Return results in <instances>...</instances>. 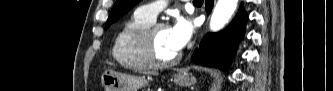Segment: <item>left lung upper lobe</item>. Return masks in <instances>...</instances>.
Instances as JSON below:
<instances>
[{
    "label": "left lung upper lobe",
    "mask_w": 333,
    "mask_h": 91,
    "mask_svg": "<svg viewBox=\"0 0 333 91\" xmlns=\"http://www.w3.org/2000/svg\"><path fill=\"white\" fill-rule=\"evenodd\" d=\"M140 0H117L106 23V29L125 15Z\"/></svg>",
    "instance_id": "left-lung-upper-lobe-1"
}]
</instances>
